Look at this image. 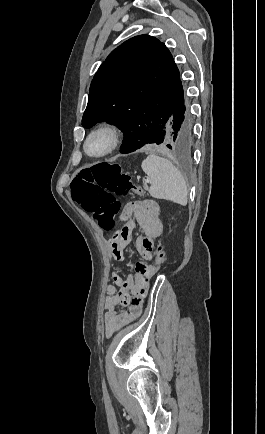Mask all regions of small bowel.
Returning a JSON list of instances; mask_svg holds the SVG:
<instances>
[{
	"label": "small bowel",
	"instance_id": "small-bowel-1",
	"mask_svg": "<svg viewBox=\"0 0 265 434\" xmlns=\"http://www.w3.org/2000/svg\"><path fill=\"white\" fill-rule=\"evenodd\" d=\"M161 209L159 204L152 199L129 202L123 211L124 236L109 239V246L113 257L118 261L125 259V248L128 244L131 233L136 226H139L141 235L137 237L136 247L145 260H153L154 240L159 237L163 230L160 219ZM137 263L134 273L123 278L122 271L116 269L113 272V283L106 286V297L104 301L105 314L103 316L104 333L107 338L111 337L117 330L123 328L130 322L136 320L142 312V299L147 302L149 291L135 282L143 277H152L154 274L146 272V268Z\"/></svg>",
	"mask_w": 265,
	"mask_h": 434
}]
</instances>
